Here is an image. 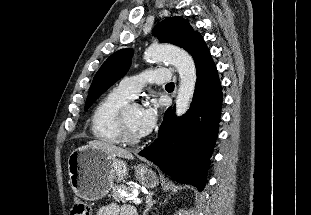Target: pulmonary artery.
I'll return each mask as SVG.
<instances>
[{"mask_svg":"<svg viewBox=\"0 0 311 215\" xmlns=\"http://www.w3.org/2000/svg\"><path fill=\"white\" fill-rule=\"evenodd\" d=\"M171 74L166 68L146 70L138 75L123 78L117 89L130 99H134L144 85L148 83L163 84L170 81Z\"/></svg>","mask_w":311,"mask_h":215,"instance_id":"1","label":"pulmonary artery"}]
</instances>
